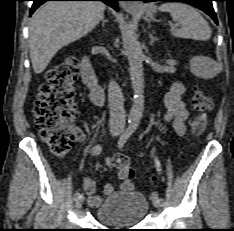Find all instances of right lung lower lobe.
<instances>
[{"label": "right lung lower lobe", "mask_w": 234, "mask_h": 231, "mask_svg": "<svg viewBox=\"0 0 234 231\" xmlns=\"http://www.w3.org/2000/svg\"><path fill=\"white\" fill-rule=\"evenodd\" d=\"M46 1H102L106 3L107 5L111 6L115 10H118L117 1L119 0H33L34 4L32 5V8L30 10V15L44 2Z\"/></svg>", "instance_id": "1"}]
</instances>
